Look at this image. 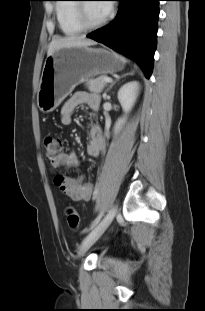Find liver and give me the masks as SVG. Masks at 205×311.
Returning a JSON list of instances; mask_svg holds the SVG:
<instances>
[{
	"instance_id": "obj_1",
	"label": "liver",
	"mask_w": 205,
	"mask_h": 311,
	"mask_svg": "<svg viewBox=\"0 0 205 311\" xmlns=\"http://www.w3.org/2000/svg\"><path fill=\"white\" fill-rule=\"evenodd\" d=\"M96 44H97L96 41L88 39L85 36H70V37L56 38L53 39L49 44L47 55L51 56L55 51L62 48L88 47Z\"/></svg>"
}]
</instances>
